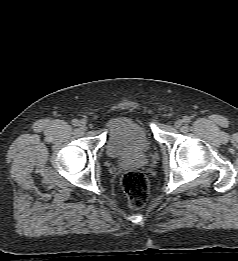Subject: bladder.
<instances>
[{"label":"bladder","instance_id":"1","mask_svg":"<svg viewBox=\"0 0 238 261\" xmlns=\"http://www.w3.org/2000/svg\"><path fill=\"white\" fill-rule=\"evenodd\" d=\"M152 147L153 140L139 121L120 116L108 124L105 151L110 158L142 156Z\"/></svg>","mask_w":238,"mask_h":261}]
</instances>
